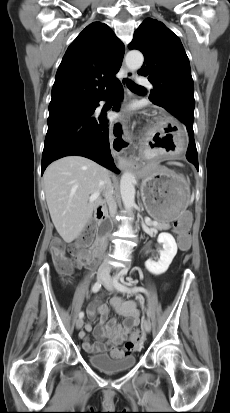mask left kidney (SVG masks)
<instances>
[{"label": "left kidney", "instance_id": "obj_1", "mask_svg": "<svg viewBox=\"0 0 230 413\" xmlns=\"http://www.w3.org/2000/svg\"><path fill=\"white\" fill-rule=\"evenodd\" d=\"M158 242L163 244L159 260L155 262L149 259L145 262L147 270L155 275L165 273L177 253V244L171 234L166 232L160 233Z\"/></svg>", "mask_w": 230, "mask_h": 413}]
</instances>
